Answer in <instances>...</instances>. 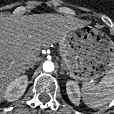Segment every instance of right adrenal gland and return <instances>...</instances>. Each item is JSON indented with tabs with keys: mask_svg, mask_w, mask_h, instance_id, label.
Listing matches in <instances>:
<instances>
[{
	"mask_svg": "<svg viewBox=\"0 0 114 114\" xmlns=\"http://www.w3.org/2000/svg\"><path fill=\"white\" fill-rule=\"evenodd\" d=\"M33 68H34V65H32V66H30V67H26V69H25L24 72L28 71L29 69H33Z\"/></svg>",
	"mask_w": 114,
	"mask_h": 114,
	"instance_id": "1",
	"label": "right adrenal gland"
}]
</instances>
